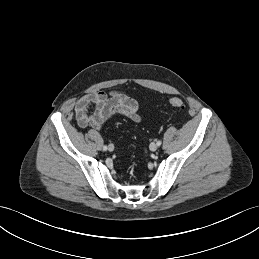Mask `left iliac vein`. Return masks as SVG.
Returning <instances> with one entry per match:
<instances>
[{
    "label": "left iliac vein",
    "instance_id": "obj_1",
    "mask_svg": "<svg viewBox=\"0 0 259 259\" xmlns=\"http://www.w3.org/2000/svg\"><path fill=\"white\" fill-rule=\"evenodd\" d=\"M157 148H158V145H157V143H151L150 144V146H149V149L151 150V151H156L157 150Z\"/></svg>",
    "mask_w": 259,
    "mask_h": 259
}]
</instances>
